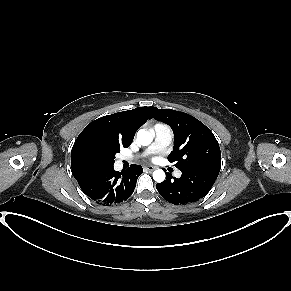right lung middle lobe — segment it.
Returning <instances> with one entry per match:
<instances>
[{
  "label": "right lung middle lobe",
  "mask_w": 291,
  "mask_h": 291,
  "mask_svg": "<svg viewBox=\"0 0 291 291\" xmlns=\"http://www.w3.org/2000/svg\"><path fill=\"white\" fill-rule=\"evenodd\" d=\"M120 147L118 144L100 140L89 141L81 150L80 161L83 166L93 171L111 168Z\"/></svg>",
  "instance_id": "1"
}]
</instances>
